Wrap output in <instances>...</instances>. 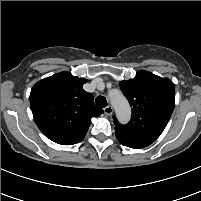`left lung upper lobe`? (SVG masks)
<instances>
[{
	"instance_id": "1",
	"label": "left lung upper lobe",
	"mask_w": 201,
	"mask_h": 201,
	"mask_svg": "<svg viewBox=\"0 0 201 201\" xmlns=\"http://www.w3.org/2000/svg\"><path fill=\"white\" fill-rule=\"evenodd\" d=\"M119 86L132 107L128 124L114 117L115 130L124 135L155 141L165 129L175 106V87L168 78L140 70Z\"/></svg>"
}]
</instances>
